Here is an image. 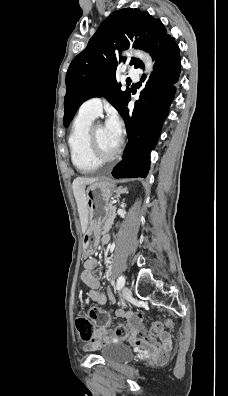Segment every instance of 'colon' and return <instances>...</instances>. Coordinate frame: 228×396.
I'll use <instances>...</instances> for the list:
<instances>
[{"mask_svg": "<svg viewBox=\"0 0 228 396\" xmlns=\"http://www.w3.org/2000/svg\"><path fill=\"white\" fill-rule=\"evenodd\" d=\"M165 324L169 327L173 326V323L170 320H167ZM110 325L111 322L109 314L99 307L91 308L89 318L79 317L76 320V328L80 337L87 341L93 339L95 335V326L110 328ZM113 331L115 332L116 336L121 339L126 338L128 335L127 328L122 324L116 325ZM150 332L153 335H160L163 332V323L160 321L152 322L150 326Z\"/></svg>", "mask_w": 228, "mask_h": 396, "instance_id": "1", "label": "colon"}]
</instances>
